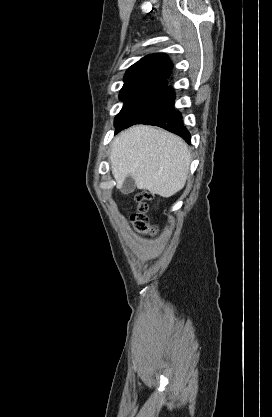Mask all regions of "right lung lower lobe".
I'll return each instance as SVG.
<instances>
[{
    "label": "right lung lower lobe",
    "instance_id": "obj_1",
    "mask_svg": "<svg viewBox=\"0 0 272 417\" xmlns=\"http://www.w3.org/2000/svg\"><path fill=\"white\" fill-rule=\"evenodd\" d=\"M174 99L173 89L166 86L150 108L131 125H156L181 136L186 142L190 143V133L182 123L181 113L174 109Z\"/></svg>",
    "mask_w": 272,
    "mask_h": 417
}]
</instances>
